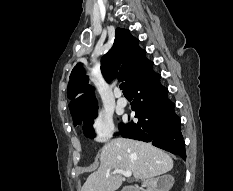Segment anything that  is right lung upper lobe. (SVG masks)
I'll return each mask as SVG.
<instances>
[{
	"label": "right lung upper lobe",
	"instance_id": "1",
	"mask_svg": "<svg viewBox=\"0 0 233 191\" xmlns=\"http://www.w3.org/2000/svg\"><path fill=\"white\" fill-rule=\"evenodd\" d=\"M139 40L134 38L129 30L117 28L112 48L101 59V72L109 82L115 78L125 81L127 85L142 68L147 58L146 51L139 47ZM68 98L72 117L91 109L97 108L91 86L88 85L84 70L79 63L70 75Z\"/></svg>",
	"mask_w": 233,
	"mask_h": 191
}]
</instances>
